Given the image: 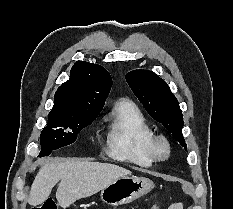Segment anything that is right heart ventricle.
<instances>
[{"label": "right heart ventricle", "instance_id": "e07e8e85", "mask_svg": "<svg viewBox=\"0 0 233 209\" xmlns=\"http://www.w3.org/2000/svg\"><path fill=\"white\" fill-rule=\"evenodd\" d=\"M108 153L115 159L149 167L155 161L152 145L155 134L138 106L120 99L109 118Z\"/></svg>", "mask_w": 233, "mask_h": 209}]
</instances>
